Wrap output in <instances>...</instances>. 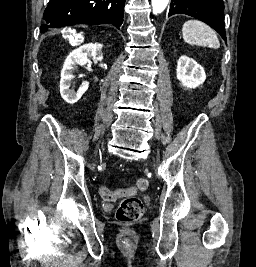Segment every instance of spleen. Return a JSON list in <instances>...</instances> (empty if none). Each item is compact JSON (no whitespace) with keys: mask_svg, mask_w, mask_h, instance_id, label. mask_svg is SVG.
Returning a JSON list of instances; mask_svg holds the SVG:
<instances>
[{"mask_svg":"<svg viewBox=\"0 0 256 267\" xmlns=\"http://www.w3.org/2000/svg\"><path fill=\"white\" fill-rule=\"evenodd\" d=\"M184 42L189 46H202V48H220V42L212 28L199 22V20H188L182 26Z\"/></svg>","mask_w":256,"mask_h":267,"instance_id":"3e777b00","label":"spleen"}]
</instances>
